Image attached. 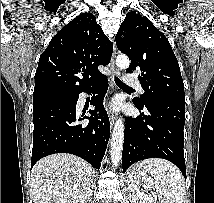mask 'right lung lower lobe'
<instances>
[{
  "instance_id": "obj_1",
  "label": "right lung lower lobe",
  "mask_w": 214,
  "mask_h": 203,
  "mask_svg": "<svg viewBox=\"0 0 214 203\" xmlns=\"http://www.w3.org/2000/svg\"><path fill=\"white\" fill-rule=\"evenodd\" d=\"M96 88L89 110L90 117L76 113L81 92L89 93ZM108 80L101 76L91 85L70 93L61 94L33 107V149L31 168L41 158L55 153L77 155L94 168L99 169L110 137L109 118L103 107ZM99 112V115L97 114ZM88 119V124L78 122Z\"/></svg>"
}]
</instances>
